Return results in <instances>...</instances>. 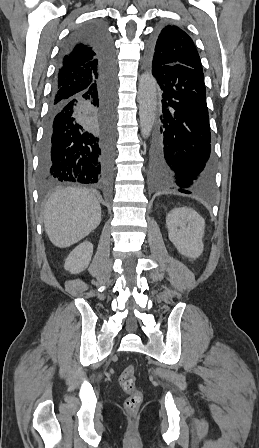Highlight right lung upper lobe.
<instances>
[{
  "label": "right lung upper lobe",
  "mask_w": 259,
  "mask_h": 448,
  "mask_svg": "<svg viewBox=\"0 0 259 448\" xmlns=\"http://www.w3.org/2000/svg\"><path fill=\"white\" fill-rule=\"evenodd\" d=\"M100 77L98 61L93 49L87 45H77L66 56L59 67L54 99L68 97L74 93L95 88Z\"/></svg>",
  "instance_id": "1"
}]
</instances>
